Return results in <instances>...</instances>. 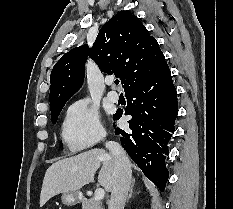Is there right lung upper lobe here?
Segmentation results:
<instances>
[{"label": "right lung upper lobe", "mask_w": 233, "mask_h": 209, "mask_svg": "<svg viewBox=\"0 0 233 209\" xmlns=\"http://www.w3.org/2000/svg\"><path fill=\"white\" fill-rule=\"evenodd\" d=\"M87 56L107 74L121 79L124 91L154 77L167 63L155 38L127 11L118 12L99 31L92 50L87 45L71 49L51 72V112L65 105L81 87Z\"/></svg>", "instance_id": "obj_1"}]
</instances>
